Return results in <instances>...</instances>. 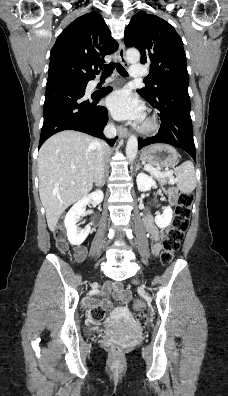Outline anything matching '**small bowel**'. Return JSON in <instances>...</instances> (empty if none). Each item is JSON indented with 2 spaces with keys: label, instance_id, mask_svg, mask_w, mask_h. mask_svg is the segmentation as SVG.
<instances>
[{
  "label": "small bowel",
  "instance_id": "small-bowel-1",
  "mask_svg": "<svg viewBox=\"0 0 228 396\" xmlns=\"http://www.w3.org/2000/svg\"><path fill=\"white\" fill-rule=\"evenodd\" d=\"M150 223H152V221H151V220H148L147 229H148V226H149ZM152 224H153V223H152ZM153 226H154V224H153ZM154 227H155V226H154ZM148 231H149V229H148ZM149 232H150V231H149ZM150 233H151V232H150ZM151 234L154 236V238H155L156 241H157L156 244L154 245V252H155L156 254H158V253L161 251V244H160L158 241H159V239H160V237H161L162 234H161V232L157 231L156 228H155V232H154V233H151ZM84 253H85V248H84V247H77V248H76V255H77L78 258L82 257V256L84 255ZM112 290H113V293H114V297H115L117 300H119L120 302H122V303L127 302V301L130 299V297H131L130 292L124 290V289L122 288L121 284L107 283V284L104 286L103 293H104L105 295H107V294H109ZM96 305H101L105 310H112V309H113L112 303H111L110 300H108L107 298H104V299L101 300V301L93 300V301L91 302V304H90V307H94V306H96Z\"/></svg>",
  "mask_w": 228,
  "mask_h": 396
}]
</instances>
